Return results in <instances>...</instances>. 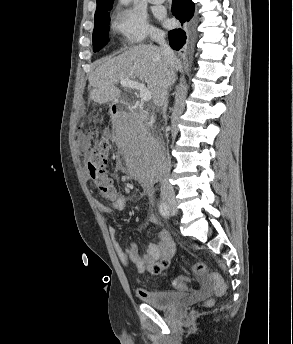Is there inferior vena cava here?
<instances>
[{"mask_svg":"<svg viewBox=\"0 0 293 344\" xmlns=\"http://www.w3.org/2000/svg\"><path fill=\"white\" fill-rule=\"evenodd\" d=\"M152 39L160 45L163 50L164 58V87L160 95V100L157 103L161 107L164 116H166L167 106H168V89L171 86L172 78L174 75L173 64L175 61V56L169 45L165 41V33L156 32L153 33ZM160 147L162 152L164 151V143L160 142ZM169 174H170V159L169 157L166 160V164L163 171V176L161 179V196L163 198H174L175 193L174 189L169 183Z\"/></svg>","mask_w":293,"mask_h":344,"instance_id":"602c4592","label":"inferior vena cava"}]
</instances>
